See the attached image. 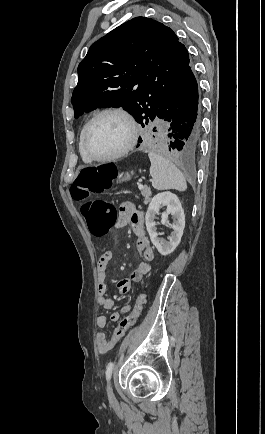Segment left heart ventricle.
<instances>
[{"mask_svg": "<svg viewBox=\"0 0 265 434\" xmlns=\"http://www.w3.org/2000/svg\"><path fill=\"white\" fill-rule=\"evenodd\" d=\"M129 138L130 127L127 120L119 114L109 113L94 123L87 145L95 156L106 157L122 150Z\"/></svg>", "mask_w": 265, "mask_h": 434, "instance_id": "b2bd125f", "label": "left heart ventricle"}]
</instances>
